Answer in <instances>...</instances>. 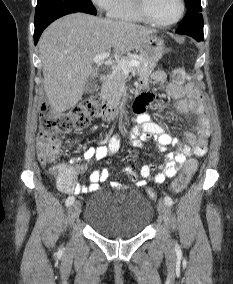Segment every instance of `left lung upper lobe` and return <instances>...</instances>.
<instances>
[{"label":"left lung upper lobe","mask_w":233,"mask_h":284,"mask_svg":"<svg viewBox=\"0 0 233 284\" xmlns=\"http://www.w3.org/2000/svg\"><path fill=\"white\" fill-rule=\"evenodd\" d=\"M201 0H185L186 8L188 9L185 17L181 21V26H201L203 25V16Z\"/></svg>","instance_id":"left-lung-upper-lobe-1"}]
</instances>
